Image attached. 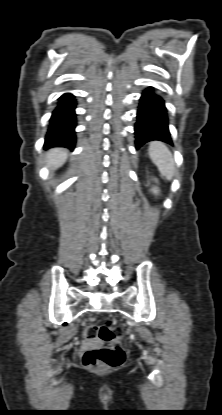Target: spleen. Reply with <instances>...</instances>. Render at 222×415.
Instances as JSON below:
<instances>
[{
  "instance_id": "spleen-1",
  "label": "spleen",
  "mask_w": 222,
  "mask_h": 415,
  "mask_svg": "<svg viewBox=\"0 0 222 415\" xmlns=\"http://www.w3.org/2000/svg\"><path fill=\"white\" fill-rule=\"evenodd\" d=\"M148 152L161 175L167 180H171L175 173V162L167 146L160 141H153L149 145Z\"/></svg>"
}]
</instances>
